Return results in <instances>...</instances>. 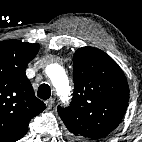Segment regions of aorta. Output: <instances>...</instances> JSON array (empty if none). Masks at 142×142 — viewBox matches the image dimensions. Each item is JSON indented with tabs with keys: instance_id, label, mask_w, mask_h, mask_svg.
<instances>
[{
	"instance_id": "762f6f07",
	"label": "aorta",
	"mask_w": 142,
	"mask_h": 142,
	"mask_svg": "<svg viewBox=\"0 0 142 142\" xmlns=\"http://www.w3.org/2000/svg\"><path fill=\"white\" fill-rule=\"evenodd\" d=\"M48 76L63 102L69 100L70 86L65 70L59 64L49 66Z\"/></svg>"
}]
</instances>
